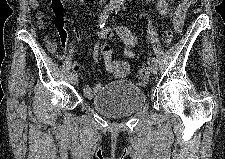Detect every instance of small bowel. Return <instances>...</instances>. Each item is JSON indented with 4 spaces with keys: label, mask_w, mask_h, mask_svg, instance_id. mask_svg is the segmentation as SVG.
<instances>
[{
    "label": "small bowel",
    "mask_w": 225,
    "mask_h": 159,
    "mask_svg": "<svg viewBox=\"0 0 225 159\" xmlns=\"http://www.w3.org/2000/svg\"><path fill=\"white\" fill-rule=\"evenodd\" d=\"M191 4L190 0H182L179 2L174 8L170 5L169 2L165 0H159L157 1V8L161 15H167L172 14L173 15V23L174 28L176 31H180L182 28L184 18L186 15V11L189 8ZM30 6L32 9L37 10L39 8V0H31ZM37 23L39 27H44V17L41 12H37ZM58 35L61 42V46L63 49L67 48V39L68 34L67 30L64 26H58ZM99 41L95 45L94 48V59L97 61L99 58L100 50L103 53V48L109 47L108 44H106L104 41H120L122 54L124 57L128 59H133L135 57V51L134 47L136 46L137 40L136 37L130 32V30L127 27L121 26L117 28L116 34L108 27L103 28L98 33ZM45 46L47 50L55 54L58 58H61L62 56L60 54H57V44L54 43L51 39L45 38L44 39ZM104 55V54H103ZM105 58V68L106 71L115 79H122L130 75L131 73V65L129 62L124 60H115L112 59V56L109 58ZM72 68L75 72H79L83 70V67L77 63H72ZM101 85L97 84L93 88L90 86H84L83 87V93L87 98H91L94 96V94L100 89Z\"/></svg>",
    "instance_id": "small-bowel-1"
}]
</instances>
